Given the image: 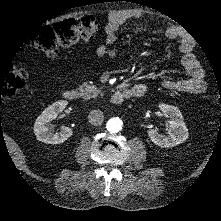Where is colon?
Listing matches in <instances>:
<instances>
[{
    "instance_id": "obj_1",
    "label": "colon",
    "mask_w": 221,
    "mask_h": 221,
    "mask_svg": "<svg viewBox=\"0 0 221 221\" xmlns=\"http://www.w3.org/2000/svg\"><path fill=\"white\" fill-rule=\"evenodd\" d=\"M102 19L97 15H86L39 27L32 36L33 45L48 57H55L61 49L79 40H92L98 34ZM25 70H11L0 80V91L4 97H12L24 86Z\"/></svg>"
}]
</instances>
